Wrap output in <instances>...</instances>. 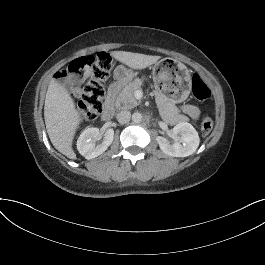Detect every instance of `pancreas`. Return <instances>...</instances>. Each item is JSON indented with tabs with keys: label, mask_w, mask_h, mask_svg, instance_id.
I'll return each instance as SVG.
<instances>
[{
	"label": "pancreas",
	"mask_w": 265,
	"mask_h": 265,
	"mask_svg": "<svg viewBox=\"0 0 265 265\" xmlns=\"http://www.w3.org/2000/svg\"><path fill=\"white\" fill-rule=\"evenodd\" d=\"M141 85L142 80L139 78L126 85L117 97L116 106L124 110L138 106L139 102L135 99L134 92L140 89ZM154 94L160 116L166 124L175 125L178 122L189 121L187 116L179 114V110L172 100L159 91H154Z\"/></svg>",
	"instance_id": "obj_1"
}]
</instances>
